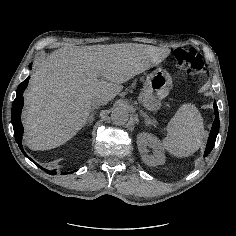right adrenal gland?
Instances as JSON below:
<instances>
[{
  "instance_id": "right-adrenal-gland-1",
  "label": "right adrenal gland",
  "mask_w": 236,
  "mask_h": 236,
  "mask_svg": "<svg viewBox=\"0 0 236 236\" xmlns=\"http://www.w3.org/2000/svg\"><path fill=\"white\" fill-rule=\"evenodd\" d=\"M94 109H98V106H93L92 110H91V114H90V118L88 120L87 126H89L90 124H92L93 121V114H95Z\"/></svg>"
}]
</instances>
